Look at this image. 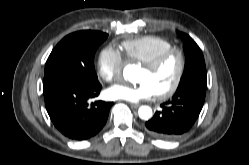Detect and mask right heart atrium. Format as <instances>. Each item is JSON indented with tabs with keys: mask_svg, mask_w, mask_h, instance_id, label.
<instances>
[{
	"mask_svg": "<svg viewBox=\"0 0 249 165\" xmlns=\"http://www.w3.org/2000/svg\"><path fill=\"white\" fill-rule=\"evenodd\" d=\"M124 59L119 51L111 46L101 50L97 60L98 76L105 82H112L121 75Z\"/></svg>",
	"mask_w": 249,
	"mask_h": 165,
	"instance_id": "1",
	"label": "right heart atrium"
}]
</instances>
